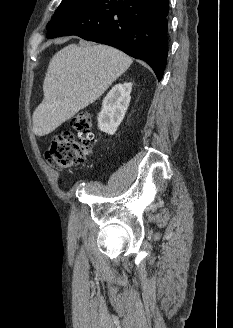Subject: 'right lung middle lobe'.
Segmentation results:
<instances>
[{
  "label": "right lung middle lobe",
  "mask_w": 233,
  "mask_h": 328,
  "mask_svg": "<svg viewBox=\"0 0 233 328\" xmlns=\"http://www.w3.org/2000/svg\"><path fill=\"white\" fill-rule=\"evenodd\" d=\"M94 0H62L60 6L56 10L55 14L48 23L47 28L49 30L57 20H60L92 3ZM49 34V31H48ZM48 36V35H47Z\"/></svg>",
  "instance_id": "1"
}]
</instances>
